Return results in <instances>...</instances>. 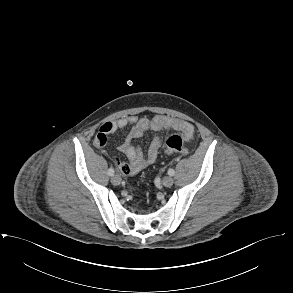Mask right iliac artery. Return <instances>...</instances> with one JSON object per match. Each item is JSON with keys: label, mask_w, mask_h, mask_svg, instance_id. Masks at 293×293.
<instances>
[{"label": "right iliac artery", "mask_w": 293, "mask_h": 293, "mask_svg": "<svg viewBox=\"0 0 293 293\" xmlns=\"http://www.w3.org/2000/svg\"><path fill=\"white\" fill-rule=\"evenodd\" d=\"M108 175H109V176H113V175H114V169H113V168H110V169L108 170Z\"/></svg>", "instance_id": "1"}]
</instances>
